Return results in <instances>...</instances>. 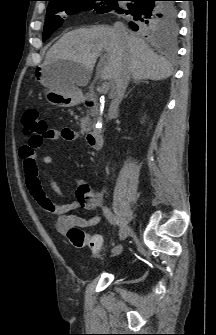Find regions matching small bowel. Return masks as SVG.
I'll list each match as a JSON object with an SVG mask.
<instances>
[{"instance_id": "small-bowel-1", "label": "small bowel", "mask_w": 216, "mask_h": 335, "mask_svg": "<svg viewBox=\"0 0 216 335\" xmlns=\"http://www.w3.org/2000/svg\"><path fill=\"white\" fill-rule=\"evenodd\" d=\"M77 138V133L69 128H63L61 130L50 129L48 130L44 141H56L60 139L74 141ZM20 156L23 160L25 182L30 195L43 210L57 216L56 228L60 233H67L72 227H94L101 222V218L99 216L85 219L70 213L79 207H84L87 210L99 208L101 206V196L99 193H91L90 186L82 184L76 191L75 200H66L63 203H56L47 196L42 188L35 151L31 149L29 145H24L20 148ZM43 163L46 166L50 165L52 163V158L50 156H44ZM60 194L63 198H65L63 193L60 192ZM93 236L101 238L98 234ZM99 252L93 254L97 255Z\"/></svg>"}]
</instances>
